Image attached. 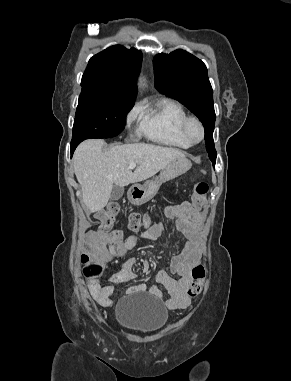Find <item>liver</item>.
Here are the masks:
<instances>
[{
	"mask_svg": "<svg viewBox=\"0 0 291 381\" xmlns=\"http://www.w3.org/2000/svg\"><path fill=\"white\" fill-rule=\"evenodd\" d=\"M103 145V140H86L74 153L75 175L91 213L107 205L115 185L124 187L144 181L185 156L178 149L146 143L116 145L106 152H102ZM131 163L137 164L134 172L129 169Z\"/></svg>",
	"mask_w": 291,
	"mask_h": 381,
	"instance_id": "liver-1",
	"label": "liver"
}]
</instances>
